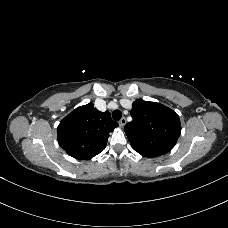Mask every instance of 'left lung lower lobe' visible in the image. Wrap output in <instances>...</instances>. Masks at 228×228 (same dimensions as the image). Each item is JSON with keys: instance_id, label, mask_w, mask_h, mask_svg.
<instances>
[{"instance_id": "obj_1", "label": "left lung lower lobe", "mask_w": 228, "mask_h": 228, "mask_svg": "<svg viewBox=\"0 0 228 228\" xmlns=\"http://www.w3.org/2000/svg\"><path fill=\"white\" fill-rule=\"evenodd\" d=\"M145 157H156V156H145Z\"/></svg>"}]
</instances>
